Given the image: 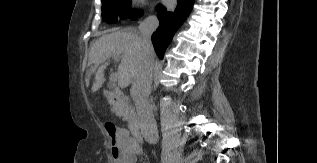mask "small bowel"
I'll list each match as a JSON object with an SVG mask.
<instances>
[{
    "instance_id": "1",
    "label": "small bowel",
    "mask_w": 317,
    "mask_h": 163,
    "mask_svg": "<svg viewBox=\"0 0 317 163\" xmlns=\"http://www.w3.org/2000/svg\"><path fill=\"white\" fill-rule=\"evenodd\" d=\"M118 140L121 152L119 163H137L138 157L142 154L140 146L136 145L123 129L118 132Z\"/></svg>"
}]
</instances>
